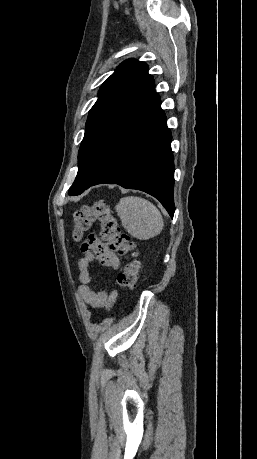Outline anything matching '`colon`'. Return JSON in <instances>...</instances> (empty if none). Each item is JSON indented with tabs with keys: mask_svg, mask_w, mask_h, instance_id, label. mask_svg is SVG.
Here are the masks:
<instances>
[{
	"mask_svg": "<svg viewBox=\"0 0 257 459\" xmlns=\"http://www.w3.org/2000/svg\"><path fill=\"white\" fill-rule=\"evenodd\" d=\"M95 220L100 222L101 239L126 260L117 275L118 285L126 290L134 289L138 284L140 272V263L136 259L135 244L127 235L121 233L118 222L106 200L99 199L92 205H84L74 213L73 239L75 241L80 240L82 233L88 230Z\"/></svg>",
	"mask_w": 257,
	"mask_h": 459,
	"instance_id": "5ec220e1",
	"label": "colon"
}]
</instances>
